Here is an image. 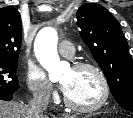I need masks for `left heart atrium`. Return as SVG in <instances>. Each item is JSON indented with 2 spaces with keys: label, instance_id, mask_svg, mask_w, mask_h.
<instances>
[{
  "label": "left heart atrium",
  "instance_id": "1",
  "mask_svg": "<svg viewBox=\"0 0 133 118\" xmlns=\"http://www.w3.org/2000/svg\"><path fill=\"white\" fill-rule=\"evenodd\" d=\"M61 89H62V91H63L64 93H66V92H67L68 87H67V85H66V84H62V85H61Z\"/></svg>",
  "mask_w": 133,
  "mask_h": 118
}]
</instances>
